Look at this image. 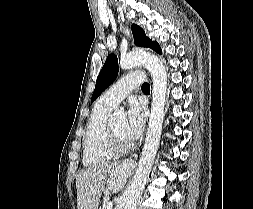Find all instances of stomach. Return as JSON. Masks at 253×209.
<instances>
[{"label": "stomach", "instance_id": "obj_1", "mask_svg": "<svg viewBox=\"0 0 253 209\" xmlns=\"http://www.w3.org/2000/svg\"><path fill=\"white\" fill-rule=\"evenodd\" d=\"M101 190H110V181H101Z\"/></svg>", "mask_w": 253, "mask_h": 209}]
</instances>
